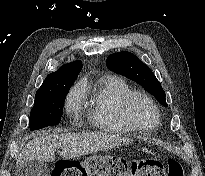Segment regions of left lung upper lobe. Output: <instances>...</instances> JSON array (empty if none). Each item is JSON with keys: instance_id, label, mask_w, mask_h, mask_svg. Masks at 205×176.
Instances as JSON below:
<instances>
[{"instance_id": "obj_1", "label": "left lung upper lobe", "mask_w": 205, "mask_h": 176, "mask_svg": "<svg viewBox=\"0 0 205 176\" xmlns=\"http://www.w3.org/2000/svg\"><path fill=\"white\" fill-rule=\"evenodd\" d=\"M106 64L110 70L136 81L146 91L154 95L163 106H168L160 82L150 68L133 53L125 51L111 54L107 58Z\"/></svg>"}]
</instances>
